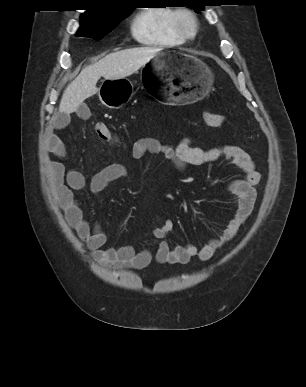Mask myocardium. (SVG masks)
Instances as JSON below:
<instances>
[{
    "label": "myocardium",
    "mask_w": 306,
    "mask_h": 387,
    "mask_svg": "<svg viewBox=\"0 0 306 387\" xmlns=\"http://www.w3.org/2000/svg\"><path fill=\"white\" fill-rule=\"evenodd\" d=\"M174 27L184 39H194L199 31L198 17L191 9H178L174 16Z\"/></svg>",
    "instance_id": "f54148a6"
}]
</instances>
